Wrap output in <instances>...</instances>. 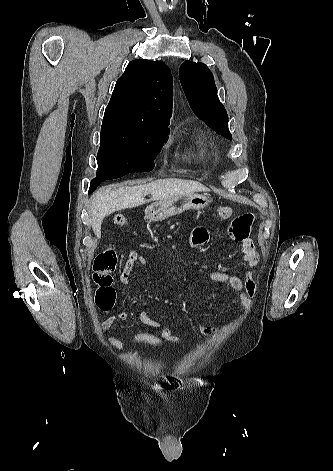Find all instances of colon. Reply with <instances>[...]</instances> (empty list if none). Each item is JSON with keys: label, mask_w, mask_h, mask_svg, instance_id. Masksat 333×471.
I'll return each instance as SVG.
<instances>
[{"label": "colon", "mask_w": 333, "mask_h": 471, "mask_svg": "<svg viewBox=\"0 0 333 471\" xmlns=\"http://www.w3.org/2000/svg\"><path fill=\"white\" fill-rule=\"evenodd\" d=\"M217 214L222 219L230 218L233 209L228 206H221L217 209ZM115 225L123 227L127 223L125 216L118 214L114 217ZM118 256L114 247L110 246L101 251L95 258L93 264V280L97 286L96 304L102 310L112 308L115 300L113 289V273L116 268ZM132 342L138 345L161 346L166 342L161 335L140 331L132 336Z\"/></svg>", "instance_id": "1"}]
</instances>
